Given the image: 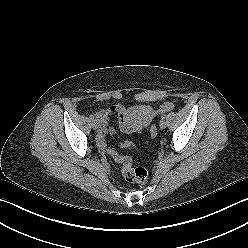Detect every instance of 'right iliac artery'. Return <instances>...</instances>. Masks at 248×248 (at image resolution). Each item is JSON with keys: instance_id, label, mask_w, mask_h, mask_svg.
<instances>
[{"instance_id": "right-iliac-artery-1", "label": "right iliac artery", "mask_w": 248, "mask_h": 248, "mask_svg": "<svg viewBox=\"0 0 248 248\" xmlns=\"http://www.w3.org/2000/svg\"><path fill=\"white\" fill-rule=\"evenodd\" d=\"M89 119H90V120H94V116H93V115H90V116H89Z\"/></svg>"}]
</instances>
